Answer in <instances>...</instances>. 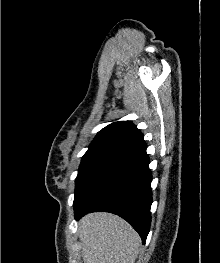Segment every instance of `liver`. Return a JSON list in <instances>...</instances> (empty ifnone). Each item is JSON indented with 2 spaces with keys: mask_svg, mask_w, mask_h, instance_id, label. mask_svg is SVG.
Returning <instances> with one entry per match:
<instances>
[{
  "mask_svg": "<svg viewBox=\"0 0 220 263\" xmlns=\"http://www.w3.org/2000/svg\"><path fill=\"white\" fill-rule=\"evenodd\" d=\"M78 233L84 263H135L140 236L119 216L90 213L79 221Z\"/></svg>",
  "mask_w": 220,
  "mask_h": 263,
  "instance_id": "6515ba94",
  "label": "liver"
}]
</instances>
